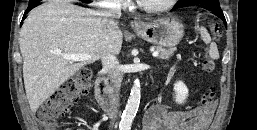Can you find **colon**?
<instances>
[{"label":"colon","instance_id":"obj_1","mask_svg":"<svg viewBox=\"0 0 257 130\" xmlns=\"http://www.w3.org/2000/svg\"><path fill=\"white\" fill-rule=\"evenodd\" d=\"M218 37L217 29H213ZM202 68L211 73L215 69V62L209 54H206ZM91 85V73L87 69L80 70L73 77L65 81L37 110L35 118L44 130H56L58 122L72 108L81 95L86 93ZM215 97V89L210 87L201 96L200 103L203 108L212 106ZM69 130V129H64Z\"/></svg>","mask_w":257,"mask_h":130}]
</instances>
